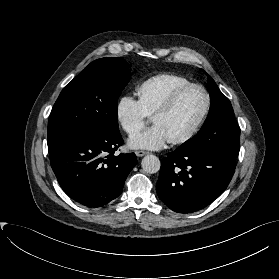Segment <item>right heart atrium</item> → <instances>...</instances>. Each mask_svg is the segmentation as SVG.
Here are the masks:
<instances>
[{
	"instance_id": "d8ad5b80",
	"label": "right heart atrium",
	"mask_w": 279,
	"mask_h": 279,
	"mask_svg": "<svg viewBox=\"0 0 279 279\" xmlns=\"http://www.w3.org/2000/svg\"><path fill=\"white\" fill-rule=\"evenodd\" d=\"M115 118L119 127L127 135L132 136L144 127L148 116L139 100L129 95H121L116 102Z\"/></svg>"
}]
</instances>
